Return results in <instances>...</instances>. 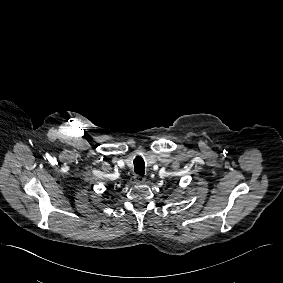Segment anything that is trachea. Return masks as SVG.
<instances>
[{"label":"trachea","instance_id":"3493384b","mask_svg":"<svg viewBox=\"0 0 283 283\" xmlns=\"http://www.w3.org/2000/svg\"><path fill=\"white\" fill-rule=\"evenodd\" d=\"M134 171L141 176L145 173V163L143 158L140 156H137L134 159Z\"/></svg>","mask_w":283,"mask_h":283}]
</instances>
